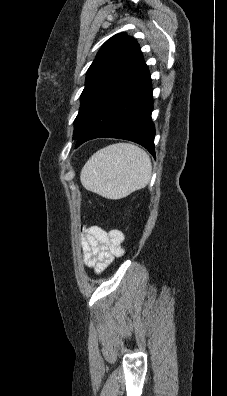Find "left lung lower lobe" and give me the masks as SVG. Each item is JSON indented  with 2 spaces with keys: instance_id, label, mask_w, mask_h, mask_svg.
I'll return each mask as SVG.
<instances>
[{
  "instance_id": "obj_1",
  "label": "left lung lower lobe",
  "mask_w": 227,
  "mask_h": 396,
  "mask_svg": "<svg viewBox=\"0 0 227 396\" xmlns=\"http://www.w3.org/2000/svg\"><path fill=\"white\" fill-rule=\"evenodd\" d=\"M152 109L151 77L143 62L97 104L76 138L75 148L91 139L110 137L138 143L155 156Z\"/></svg>"
}]
</instances>
